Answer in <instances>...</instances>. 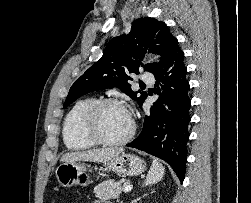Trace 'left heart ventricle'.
<instances>
[{"label": "left heart ventricle", "instance_id": "1", "mask_svg": "<svg viewBox=\"0 0 251 203\" xmlns=\"http://www.w3.org/2000/svg\"><path fill=\"white\" fill-rule=\"evenodd\" d=\"M131 127V117L124 107H105L98 120L100 133L107 139H119L125 136Z\"/></svg>", "mask_w": 251, "mask_h": 203}]
</instances>
